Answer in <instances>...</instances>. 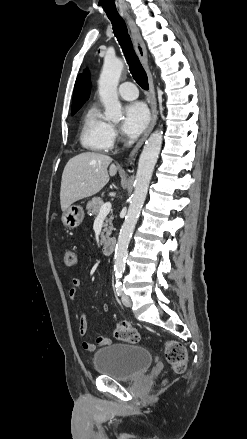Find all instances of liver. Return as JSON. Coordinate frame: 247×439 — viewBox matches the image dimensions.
Instances as JSON below:
<instances>
[{
    "label": "liver",
    "mask_w": 247,
    "mask_h": 439,
    "mask_svg": "<svg viewBox=\"0 0 247 439\" xmlns=\"http://www.w3.org/2000/svg\"><path fill=\"white\" fill-rule=\"evenodd\" d=\"M111 163V157L95 152H84L72 157L62 174L61 209L64 211L74 202L99 192L108 183L109 175L117 173V166Z\"/></svg>",
    "instance_id": "liver-1"
}]
</instances>
